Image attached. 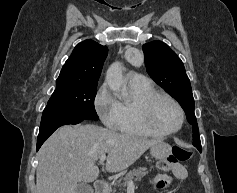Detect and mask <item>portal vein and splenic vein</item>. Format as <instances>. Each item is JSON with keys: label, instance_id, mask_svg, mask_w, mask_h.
<instances>
[{"label": "portal vein and splenic vein", "instance_id": "obj_1", "mask_svg": "<svg viewBox=\"0 0 237 193\" xmlns=\"http://www.w3.org/2000/svg\"><path fill=\"white\" fill-rule=\"evenodd\" d=\"M105 160H106V156H105V155H102V156L99 158V162H100V163H103ZM129 183H132V180H130Z\"/></svg>", "mask_w": 237, "mask_h": 193}]
</instances>
